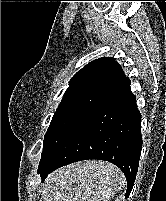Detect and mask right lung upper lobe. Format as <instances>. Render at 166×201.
Wrapping results in <instances>:
<instances>
[{"instance_id": "obj_1", "label": "right lung upper lobe", "mask_w": 166, "mask_h": 201, "mask_svg": "<svg viewBox=\"0 0 166 201\" xmlns=\"http://www.w3.org/2000/svg\"><path fill=\"white\" fill-rule=\"evenodd\" d=\"M125 78L114 58L96 59L73 76L61 102L88 96L106 97Z\"/></svg>"}]
</instances>
